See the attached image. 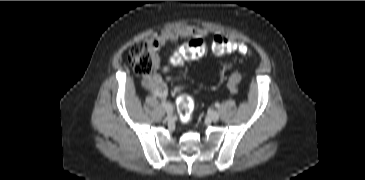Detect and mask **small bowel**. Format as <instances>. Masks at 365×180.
Here are the masks:
<instances>
[{"label": "small bowel", "mask_w": 365, "mask_h": 180, "mask_svg": "<svg viewBox=\"0 0 365 180\" xmlns=\"http://www.w3.org/2000/svg\"><path fill=\"white\" fill-rule=\"evenodd\" d=\"M204 34H205L204 29H202L200 27H196V26H189V27H185V28L168 30V31L162 33L161 35H159L158 37L150 39L147 43L157 53V51L161 47L171 44L179 39L201 38ZM157 68L160 72H162L164 70V68L159 63L158 56H157ZM234 75H236V74H234ZM143 83L154 94H156L160 97H166L168 94V87L165 84L162 76L159 73L145 77L143 79Z\"/></svg>", "instance_id": "obj_1"}]
</instances>
